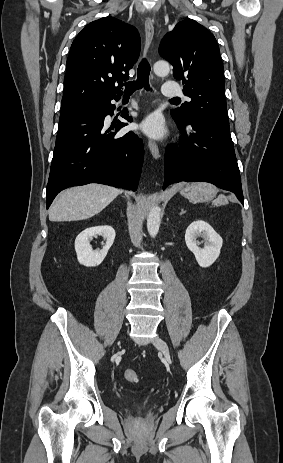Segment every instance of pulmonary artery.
Segmentation results:
<instances>
[{
  "mask_svg": "<svg viewBox=\"0 0 283 463\" xmlns=\"http://www.w3.org/2000/svg\"><path fill=\"white\" fill-rule=\"evenodd\" d=\"M162 95L168 98H179L183 96L181 88L174 82H166L161 87Z\"/></svg>",
  "mask_w": 283,
  "mask_h": 463,
  "instance_id": "pulmonary-artery-1",
  "label": "pulmonary artery"
}]
</instances>
